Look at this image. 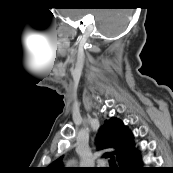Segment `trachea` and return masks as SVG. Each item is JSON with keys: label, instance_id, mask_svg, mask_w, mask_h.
<instances>
[{"label": "trachea", "instance_id": "1", "mask_svg": "<svg viewBox=\"0 0 173 173\" xmlns=\"http://www.w3.org/2000/svg\"><path fill=\"white\" fill-rule=\"evenodd\" d=\"M110 166H111L110 169L116 167V163H115V159H114V157L111 158V160H110Z\"/></svg>", "mask_w": 173, "mask_h": 173}]
</instances>
